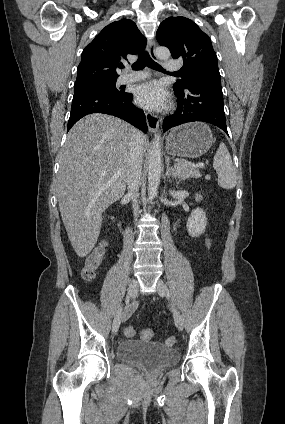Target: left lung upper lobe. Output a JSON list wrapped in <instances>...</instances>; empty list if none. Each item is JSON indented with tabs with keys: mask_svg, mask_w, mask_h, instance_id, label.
<instances>
[{
	"mask_svg": "<svg viewBox=\"0 0 285 424\" xmlns=\"http://www.w3.org/2000/svg\"><path fill=\"white\" fill-rule=\"evenodd\" d=\"M160 45L169 48L174 59H183L180 77L173 88L184 90L202 79L221 80L217 56L211 40L192 20L185 17H169L156 33Z\"/></svg>",
	"mask_w": 285,
	"mask_h": 424,
	"instance_id": "1",
	"label": "left lung upper lobe"
}]
</instances>
